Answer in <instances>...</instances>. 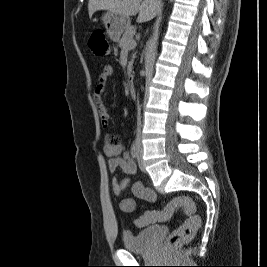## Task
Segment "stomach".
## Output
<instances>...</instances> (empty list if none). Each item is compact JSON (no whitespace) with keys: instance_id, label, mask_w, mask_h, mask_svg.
<instances>
[{"instance_id":"0dacf381","label":"stomach","mask_w":267,"mask_h":267,"mask_svg":"<svg viewBox=\"0 0 267 267\" xmlns=\"http://www.w3.org/2000/svg\"><path fill=\"white\" fill-rule=\"evenodd\" d=\"M102 21L105 25L109 38L118 42L123 32L130 26L129 17L108 11L102 16Z\"/></svg>"}]
</instances>
